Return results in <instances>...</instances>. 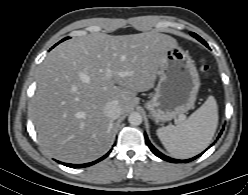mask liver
Returning a JSON list of instances; mask_svg holds the SVG:
<instances>
[{"label": "liver", "instance_id": "6515ba94", "mask_svg": "<svg viewBox=\"0 0 248 195\" xmlns=\"http://www.w3.org/2000/svg\"><path fill=\"white\" fill-rule=\"evenodd\" d=\"M175 46L173 37L150 31L94 33L55 47L39 67L30 109L43 149L68 163L104 155L114 134L104 106L116 101L121 114L129 112L137 93L152 88L166 51Z\"/></svg>", "mask_w": 248, "mask_h": 195}]
</instances>
